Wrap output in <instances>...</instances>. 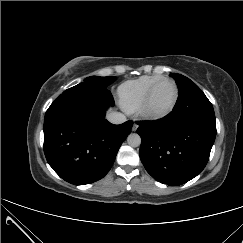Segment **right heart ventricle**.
<instances>
[{
	"mask_svg": "<svg viewBox=\"0 0 243 243\" xmlns=\"http://www.w3.org/2000/svg\"><path fill=\"white\" fill-rule=\"evenodd\" d=\"M163 78L161 75H144L121 84L117 92L123 109L127 112L139 110L151 87Z\"/></svg>",
	"mask_w": 243,
	"mask_h": 243,
	"instance_id": "e07e8e85",
	"label": "right heart ventricle"
}]
</instances>
